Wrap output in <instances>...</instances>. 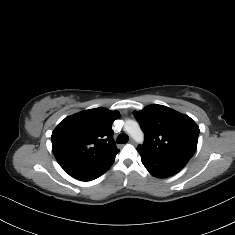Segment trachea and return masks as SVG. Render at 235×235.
Masks as SVG:
<instances>
[{
    "label": "trachea",
    "mask_w": 235,
    "mask_h": 235,
    "mask_svg": "<svg viewBox=\"0 0 235 235\" xmlns=\"http://www.w3.org/2000/svg\"><path fill=\"white\" fill-rule=\"evenodd\" d=\"M128 140H129V137L123 133L117 137V142L120 144H125L128 142Z\"/></svg>",
    "instance_id": "1"
}]
</instances>
